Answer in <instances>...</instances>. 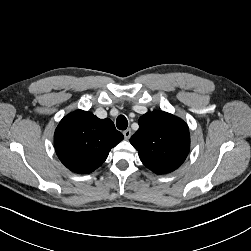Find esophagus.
Listing matches in <instances>:
<instances>
[{"instance_id": "esophagus-1", "label": "esophagus", "mask_w": 251, "mask_h": 251, "mask_svg": "<svg viewBox=\"0 0 251 251\" xmlns=\"http://www.w3.org/2000/svg\"><path fill=\"white\" fill-rule=\"evenodd\" d=\"M123 135H124L125 139L128 140V139L131 137V135H132L131 129L125 130V131L123 132Z\"/></svg>"}]
</instances>
